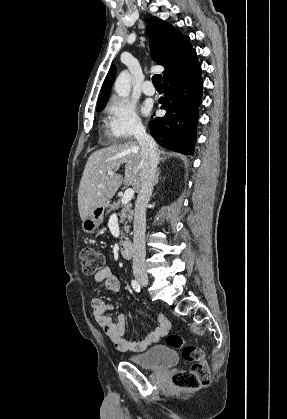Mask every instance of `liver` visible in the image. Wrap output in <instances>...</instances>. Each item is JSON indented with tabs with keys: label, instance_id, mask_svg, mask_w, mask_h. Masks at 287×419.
I'll return each instance as SVG.
<instances>
[{
	"label": "liver",
	"instance_id": "liver-1",
	"mask_svg": "<svg viewBox=\"0 0 287 419\" xmlns=\"http://www.w3.org/2000/svg\"><path fill=\"white\" fill-rule=\"evenodd\" d=\"M157 152L160 153L158 148ZM122 164H125L124 178L115 172L108 174ZM142 173V153L138 142L128 141L93 152L85 165L78 190L81 220H85L96 208L106 206L122 184L139 192Z\"/></svg>",
	"mask_w": 287,
	"mask_h": 419
}]
</instances>
